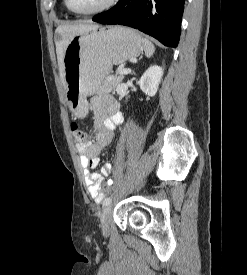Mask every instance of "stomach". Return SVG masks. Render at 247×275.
<instances>
[{
  "mask_svg": "<svg viewBox=\"0 0 247 275\" xmlns=\"http://www.w3.org/2000/svg\"><path fill=\"white\" fill-rule=\"evenodd\" d=\"M143 51L138 33L125 27H104L73 37L64 52L66 102L72 114L88 113L87 97L95 94L113 65Z\"/></svg>",
  "mask_w": 247,
  "mask_h": 275,
  "instance_id": "stomach-1",
  "label": "stomach"
}]
</instances>
